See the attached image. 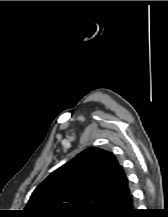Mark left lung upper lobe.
Here are the masks:
<instances>
[{
    "label": "left lung upper lobe",
    "mask_w": 168,
    "mask_h": 217,
    "mask_svg": "<svg viewBox=\"0 0 168 217\" xmlns=\"http://www.w3.org/2000/svg\"><path fill=\"white\" fill-rule=\"evenodd\" d=\"M127 185L112 153L89 148L39 184L24 210L29 217H97Z\"/></svg>",
    "instance_id": "obj_1"
}]
</instances>
